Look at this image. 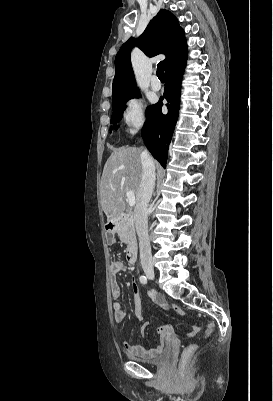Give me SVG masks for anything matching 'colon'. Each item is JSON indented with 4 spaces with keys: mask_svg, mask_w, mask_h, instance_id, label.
Listing matches in <instances>:
<instances>
[{
    "mask_svg": "<svg viewBox=\"0 0 273 401\" xmlns=\"http://www.w3.org/2000/svg\"><path fill=\"white\" fill-rule=\"evenodd\" d=\"M204 339H209L212 337L213 332L210 329L205 330ZM201 350L199 340H190L186 345L185 349H181L180 355L182 358V363L179 365L178 372L180 373L179 378L182 381H190L193 378L191 373V368L189 367V358H198L199 352Z\"/></svg>",
    "mask_w": 273,
    "mask_h": 401,
    "instance_id": "colon-1",
    "label": "colon"
}]
</instances>
